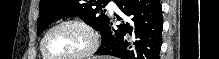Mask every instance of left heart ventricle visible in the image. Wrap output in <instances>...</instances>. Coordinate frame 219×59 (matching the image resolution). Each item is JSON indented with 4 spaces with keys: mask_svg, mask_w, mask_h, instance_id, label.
Returning <instances> with one entry per match:
<instances>
[{
    "mask_svg": "<svg viewBox=\"0 0 219 59\" xmlns=\"http://www.w3.org/2000/svg\"><path fill=\"white\" fill-rule=\"evenodd\" d=\"M89 44L87 33L76 25L55 29L46 41L47 51L55 57H68L82 52Z\"/></svg>",
    "mask_w": 219,
    "mask_h": 59,
    "instance_id": "1",
    "label": "left heart ventricle"
}]
</instances>
